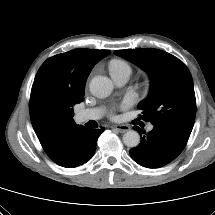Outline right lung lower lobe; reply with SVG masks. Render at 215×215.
Returning <instances> with one entry per match:
<instances>
[{"label": "right lung lower lobe", "mask_w": 215, "mask_h": 215, "mask_svg": "<svg viewBox=\"0 0 215 215\" xmlns=\"http://www.w3.org/2000/svg\"><path fill=\"white\" fill-rule=\"evenodd\" d=\"M102 132V129L93 130L84 126L77 129L69 137L61 155L53 161L66 168L88 162L95 153L97 139Z\"/></svg>", "instance_id": "1"}]
</instances>
